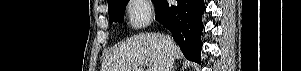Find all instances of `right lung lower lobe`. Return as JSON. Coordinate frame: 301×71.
I'll list each match as a JSON object with an SVG mask.
<instances>
[{
  "label": "right lung lower lobe",
  "instance_id": "right-lung-lower-lobe-1",
  "mask_svg": "<svg viewBox=\"0 0 301 71\" xmlns=\"http://www.w3.org/2000/svg\"><path fill=\"white\" fill-rule=\"evenodd\" d=\"M154 4L156 20L171 32L184 56L200 63L204 0H177V5L171 6L167 0H156Z\"/></svg>",
  "mask_w": 301,
  "mask_h": 71
}]
</instances>
